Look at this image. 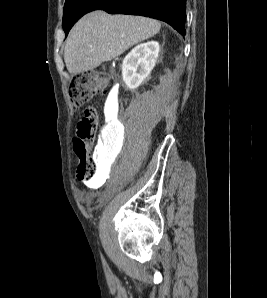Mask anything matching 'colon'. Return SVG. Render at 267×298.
Wrapping results in <instances>:
<instances>
[{
  "label": "colon",
  "instance_id": "obj_1",
  "mask_svg": "<svg viewBox=\"0 0 267 298\" xmlns=\"http://www.w3.org/2000/svg\"><path fill=\"white\" fill-rule=\"evenodd\" d=\"M105 87L106 80L99 74L83 72L74 76L68 90L72 106L77 108L84 105ZM98 122V110L88 108L77 125V134L73 139V149L78 158V177L82 181H92L97 177V159L100 156H92L88 145L95 137Z\"/></svg>",
  "mask_w": 267,
  "mask_h": 298
}]
</instances>
